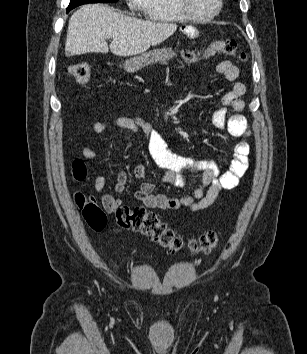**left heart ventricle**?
Masks as SVG:
<instances>
[{
  "instance_id": "b2bd125f",
  "label": "left heart ventricle",
  "mask_w": 307,
  "mask_h": 354,
  "mask_svg": "<svg viewBox=\"0 0 307 354\" xmlns=\"http://www.w3.org/2000/svg\"><path fill=\"white\" fill-rule=\"evenodd\" d=\"M216 7L217 0H188V8L196 16L210 15Z\"/></svg>"
}]
</instances>
